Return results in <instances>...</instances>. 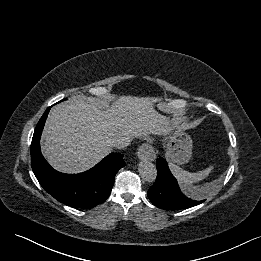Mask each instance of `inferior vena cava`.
I'll return each instance as SVG.
<instances>
[{
    "label": "inferior vena cava",
    "instance_id": "inferior-vena-cava-1",
    "mask_svg": "<svg viewBox=\"0 0 261 261\" xmlns=\"http://www.w3.org/2000/svg\"><path fill=\"white\" fill-rule=\"evenodd\" d=\"M130 144V141L127 138H119L113 143V147L117 149H124Z\"/></svg>",
    "mask_w": 261,
    "mask_h": 261
}]
</instances>
